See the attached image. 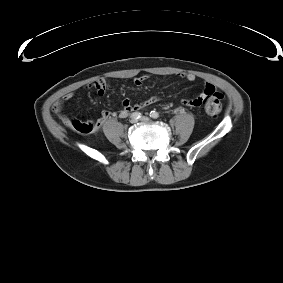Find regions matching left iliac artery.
<instances>
[{
	"label": "left iliac artery",
	"mask_w": 283,
	"mask_h": 283,
	"mask_svg": "<svg viewBox=\"0 0 283 283\" xmlns=\"http://www.w3.org/2000/svg\"><path fill=\"white\" fill-rule=\"evenodd\" d=\"M150 117H152L153 119H157L159 117V114L156 111H151Z\"/></svg>",
	"instance_id": "44dca946"
}]
</instances>
